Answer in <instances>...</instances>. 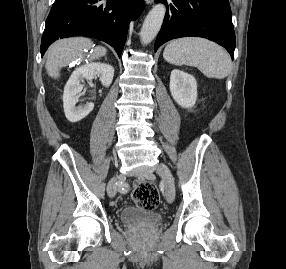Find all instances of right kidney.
I'll return each mask as SVG.
<instances>
[{
    "label": "right kidney",
    "mask_w": 286,
    "mask_h": 269,
    "mask_svg": "<svg viewBox=\"0 0 286 269\" xmlns=\"http://www.w3.org/2000/svg\"><path fill=\"white\" fill-rule=\"evenodd\" d=\"M96 75L100 76V81L104 87H109L113 80L114 68L109 64L89 63L75 69L67 81L63 94V106L65 116L70 122L82 120L93 110L94 104L92 102L79 107L75 105L77 95L82 91L80 82L84 79L90 81Z\"/></svg>",
    "instance_id": "right-kidney-1"
}]
</instances>
